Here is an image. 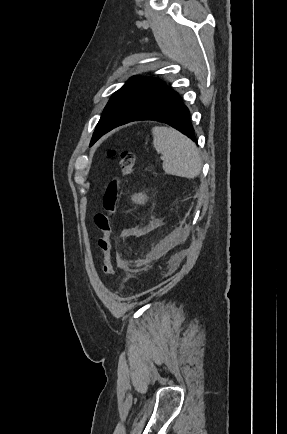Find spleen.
<instances>
[{
  "instance_id": "1",
  "label": "spleen",
  "mask_w": 287,
  "mask_h": 434,
  "mask_svg": "<svg viewBox=\"0 0 287 434\" xmlns=\"http://www.w3.org/2000/svg\"><path fill=\"white\" fill-rule=\"evenodd\" d=\"M153 145L163 157L167 174L195 178L201 170V157L195 143L179 131L156 126L152 129Z\"/></svg>"
}]
</instances>
